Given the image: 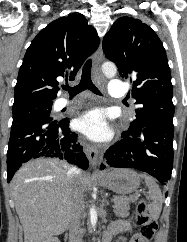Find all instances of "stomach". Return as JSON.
Returning a JSON list of instances; mask_svg holds the SVG:
<instances>
[{
  "mask_svg": "<svg viewBox=\"0 0 187 242\" xmlns=\"http://www.w3.org/2000/svg\"><path fill=\"white\" fill-rule=\"evenodd\" d=\"M99 182L116 193L129 194L139 188L140 177L131 169H114L100 176Z\"/></svg>",
  "mask_w": 187,
  "mask_h": 242,
  "instance_id": "0dacf381",
  "label": "stomach"
}]
</instances>
